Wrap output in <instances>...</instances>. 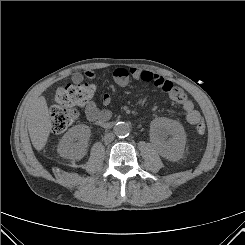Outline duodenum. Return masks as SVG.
<instances>
[{"instance_id": "410a0bca", "label": "duodenum", "mask_w": 245, "mask_h": 245, "mask_svg": "<svg viewBox=\"0 0 245 245\" xmlns=\"http://www.w3.org/2000/svg\"><path fill=\"white\" fill-rule=\"evenodd\" d=\"M109 125H110V123H107V124H106V126H109Z\"/></svg>"}]
</instances>
